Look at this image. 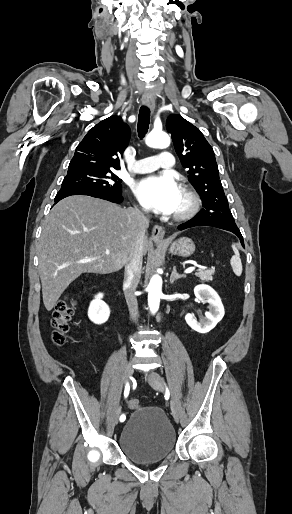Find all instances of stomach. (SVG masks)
<instances>
[{"instance_id": "1", "label": "stomach", "mask_w": 292, "mask_h": 514, "mask_svg": "<svg viewBox=\"0 0 292 514\" xmlns=\"http://www.w3.org/2000/svg\"><path fill=\"white\" fill-rule=\"evenodd\" d=\"M157 246H161V244H165V242H155ZM195 252V244L190 240V238H180V240H176L170 246V254H175V256H182V258H188Z\"/></svg>"}]
</instances>
